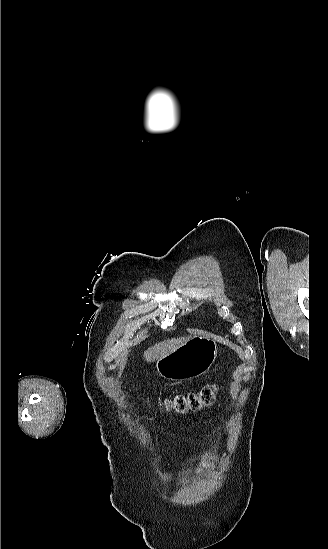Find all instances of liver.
<instances>
[{
	"label": "liver",
	"mask_w": 328,
	"mask_h": 549,
	"mask_svg": "<svg viewBox=\"0 0 328 549\" xmlns=\"http://www.w3.org/2000/svg\"><path fill=\"white\" fill-rule=\"evenodd\" d=\"M189 339L190 337H178V339H170V341H164V343H157L155 347L144 351L143 357L147 363H153V361H158V359L166 357L169 353H173V351L182 347L184 343H187Z\"/></svg>",
	"instance_id": "6515ba94"
}]
</instances>
